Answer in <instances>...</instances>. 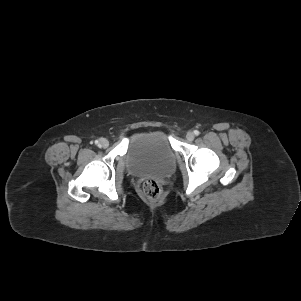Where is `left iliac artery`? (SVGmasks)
Returning a JSON list of instances; mask_svg holds the SVG:
<instances>
[{"label": "left iliac artery", "mask_w": 301, "mask_h": 301, "mask_svg": "<svg viewBox=\"0 0 301 301\" xmlns=\"http://www.w3.org/2000/svg\"><path fill=\"white\" fill-rule=\"evenodd\" d=\"M194 134H195L196 136H198V135L200 134V132H199L198 130H195V131H194Z\"/></svg>", "instance_id": "1"}]
</instances>
